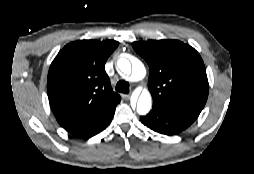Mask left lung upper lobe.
<instances>
[{"label": "left lung upper lobe", "mask_w": 254, "mask_h": 174, "mask_svg": "<svg viewBox=\"0 0 254 174\" xmlns=\"http://www.w3.org/2000/svg\"><path fill=\"white\" fill-rule=\"evenodd\" d=\"M132 47L149 65L148 88L153 104L198 116L209 91L198 52L181 41L166 39L134 42Z\"/></svg>", "instance_id": "1"}]
</instances>
